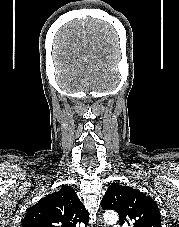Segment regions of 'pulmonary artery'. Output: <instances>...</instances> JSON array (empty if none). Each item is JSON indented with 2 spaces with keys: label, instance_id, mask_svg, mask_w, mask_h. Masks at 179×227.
<instances>
[{
  "label": "pulmonary artery",
  "instance_id": "pulmonary-artery-1",
  "mask_svg": "<svg viewBox=\"0 0 179 227\" xmlns=\"http://www.w3.org/2000/svg\"><path fill=\"white\" fill-rule=\"evenodd\" d=\"M113 227H121L120 225H118V224H115V225H113Z\"/></svg>",
  "mask_w": 179,
  "mask_h": 227
}]
</instances>
